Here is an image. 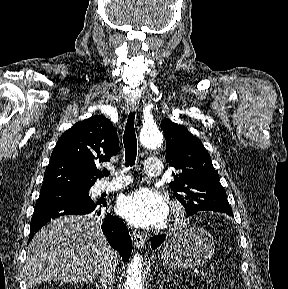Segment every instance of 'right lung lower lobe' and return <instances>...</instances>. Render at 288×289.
Returning <instances> with one entry per match:
<instances>
[{
    "label": "right lung lower lobe",
    "instance_id": "obj_1",
    "mask_svg": "<svg viewBox=\"0 0 288 289\" xmlns=\"http://www.w3.org/2000/svg\"><path fill=\"white\" fill-rule=\"evenodd\" d=\"M106 205V202H98L96 204L94 203V205H82L66 201L36 204L31 219L29 241L33 235L51 219L63 215H84L91 212L99 216L105 212L104 207ZM101 228L109 244L121 254L123 261H127L131 254L132 242L128 228L123 221L116 216L107 214L103 219Z\"/></svg>",
    "mask_w": 288,
    "mask_h": 289
}]
</instances>
